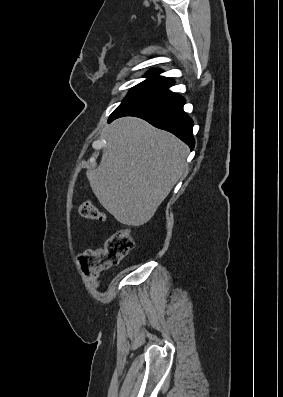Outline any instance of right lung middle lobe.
Wrapping results in <instances>:
<instances>
[{"mask_svg": "<svg viewBox=\"0 0 283 397\" xmlns=\"http://www.w3.org/2000/svg\"><path fill=\"white\" fill-rule=\"evenodd\" d=\"M170 86L171 85L168 82L152 80V79H147L139 83L130 90V92L127 94L123 102L114 110V112L110 115L109 118L116 115L121 110L132 105L133 103L142 100L148 96H151L153 94H156Z\"/></svg>", "mask_w": 283, "mask_h": 397, "instance_id": "1", "label": "right lung middle lobe"}]
</instances>
